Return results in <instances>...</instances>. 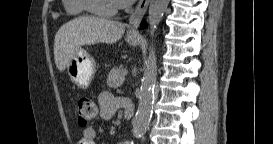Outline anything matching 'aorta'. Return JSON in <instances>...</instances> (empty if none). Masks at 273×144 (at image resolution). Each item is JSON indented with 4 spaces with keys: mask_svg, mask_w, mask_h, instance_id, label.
I'll list each match as a JSON object with an SVG mask.
<instances>
[{
    "mask_svg": "<svg viewBox=\"0 0 273 144\" xmlns=\"http://www.w3.org/2000/svg\"><path fill=\"white\" fill-rule=\"evenodd\" d=\"M169 0H151L148 12L149 33L153 37L154 33L167 9ZM157 71V58L153 45L150 46L146 70L141 82L139 92V105L136 115L133 119V136L142 137L149 126L153 103L154 87Z\"/></svg>",
    "mask_w": 273,
    "mask_h": 144,
    "instance_id": "aorta-1",
    "label": "aorta"
}]
</instances>
